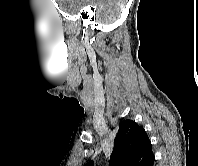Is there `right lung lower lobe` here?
I'll return each mask as SVG.
<instances>
[{
	"label": "right lung lower lobe",
	"instance_id": "right-lung-lower-lobe-1",
	"mask_svg": "<svg viewBox=\"0 0 198 166\" xmlns=\"http://www.w3.org/2000/svg\"><path fill=\"white\" fill-rule=\"evenodd\" d=\"M155 160L154 155L146 162L144 166H153V162Z\"/></svg>",
	"mask_w": 198,
	"mask_h": 166
}]
</instances>
